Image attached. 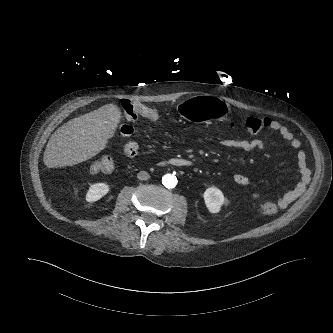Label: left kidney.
Wrapping results in <instances>:
<instances>
[{
	"mask_svg": "<svg viewBox=\"0 0 333 333\" xmlns=\"http://www.w3.org/2000/svg\"><path fill=\"white\" fill-rule=\"evenodd\" d=\"M203 197L206 207L211 213H218L225 201L222 191L215 187L207 188Z\"/></svg>",
	"mask_w": 333,
	"mask_h": 333,
	"instance_id": "5707ae66",
	"label": "left kidney"
}]
</instances>
